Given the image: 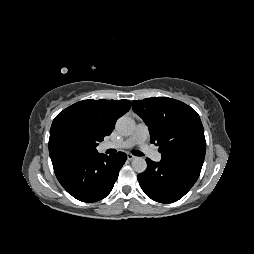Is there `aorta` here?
Masks as SVG:
<instances>
[{"mask_svg":"<svg viewBox=\"0 0 254 254\" xmlns=\"http://www.w3.org/2000/svg\"><path fill=\"white\" fill-rule=\"evenodd\" d=\"M116 129L125 136H130L135 130V121L128 116L120 117L116 122ZM132 168L137 173H143L147 168L146 160L143 157H135L132 161Z\"/></svg>","mask_w":254,"mask_h":254,"instance_id":"762f6f07","label":"aorta"}]
</instances>
